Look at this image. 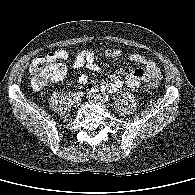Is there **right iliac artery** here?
Returning a JSON list of instances; mask_svg holds the SVG:
<instances>
[{"label": "right iliac artery", "mask_w": 195, "mask_h": 195, "mask_svg": "<svg viewBox=\"0 0 195 195\" xmlns=\"http://www.w3.org/2000/svg\"><path fill=\"white\" fill-rule=\"evenodd\" d=\"M83 92H79V93H77V97H82L83 96Z\"/></svg>", "instance_id": "right-iliac-artery-1"}]
</instances>
